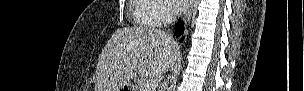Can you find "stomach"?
Wrapping results in <instances>:
<instances>
[{
	"label": "stomach",
	"instance_id": "stomach-1",
	"mask_svg": "<svg viewBox=\"0 0 304 91\" xmlns=\"http://www.w3.org/2000/svg\"><path fill=\"white\" fill-rule=\"evenodd\" d=\"M120 90H128V91H136L133 87L131 86H123Z\"/></svg>",
	"mask_w": 304,
	"mask_h": 91
}]
</instances>
